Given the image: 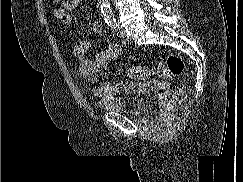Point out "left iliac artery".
<instances>
[{"mask_svg": "<svg viewBox=\"0 0 243 182\" xmlns=\"http://www.w3.org/2000/svg\"><path fill=\"white\" fill-rule=\"evenodd\" d=\"M110 27H111L112 32L114 34H118L119 33V25H118V23L113 22V23L110 24Z\"/></svg>", "mask_w": 243, "mask_h": 182, "instance_id": "left-iliac-artery-1", "label": "left iliac artery"}]
</instances>
